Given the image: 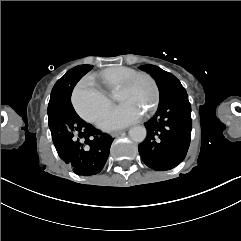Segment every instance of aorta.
Returning a JSON list of instances; mask_svg holds the SVG:
<instances>
[{"label": "aorta", "instance_id": "obj_1", "mask_svg": "<svg viewBox=\"0 0 241 241\" xmlns=\"http://www.w3.org/2000/svg\"><path fill=\"white\" fill-rule=\"evenodd\" d=\"M129 136L131 140L142 143L146 139L147 130L144 126L137 125L129 130Z\"/></svg>", "mask_w": 241, "mask_h": 241}]
</instances>
